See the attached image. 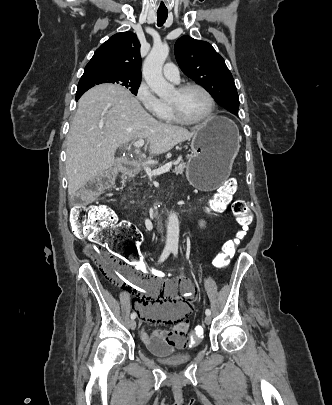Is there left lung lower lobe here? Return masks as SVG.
I'll return each mask as SVG.
<instances>
[{
	"instance_id": "obj_1",
	"label": "left lung lower lobe",
	"mask_w": 332,
	"mask_h": 405,
	"mask_svg": "<svg viewBox=\"0 0 332 405\" xmlns=\"http://www.w3.org/2000/svg\"><path fill=\"white\" fill-rule=\"evenodd\" d=\"M237 109L231 108L232 113H236Z\"/></svg>"
}]
</instances>
